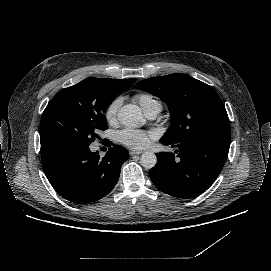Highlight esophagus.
Returning a JSON list of instances; mask_svg holds the SVG:
<instances>
[{"label":"esophagus","mask_w":271,"mask_h":271,"mask_svg":"<svg viewBox=\"0 0 271 271\" xmlns=\"http://www.w3.org/2000/svg\"><path fill=\"white\" fill-rule=\"evenodd\" d=\"M143 151L142 150H131L129 152L130 156H134V155H139L141 154Z\"/></svg>","instance_id":"obj_1"}]
</instances>
